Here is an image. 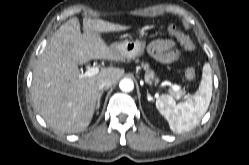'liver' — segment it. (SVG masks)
<instances>
[{
    "label": "liver",
    "mask_w": 249,
    "mask_h": 165,
    "mask_svg": "<svg viewBox=\"0 0 249 165\" xmlns=\"http://www.w3.org/2000/svg\"><path fill=\"white\" fill-rule=\"evenodd\" d=\"M129 27L100 19H83L81 34L78 18L64 23L50 38L33 71L31 94L39 115L55 130L76 133L90 124L100 94L101 80L116 84L124 69L106 68L91 77H81L78 65L90 60L124 62L108 46L101 33L118 32Z\"/></svg>",
    "instance_id": "1"
}]
</instances>
